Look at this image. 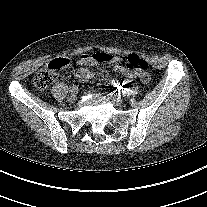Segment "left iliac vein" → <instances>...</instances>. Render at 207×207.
<instances>
[{
	"label": "left iliac vein",
	"instance_id": "obj_1",
	"mask_svg": "<svg viewBox=\"0 0 207 207\" xmlns=\"http://www.w3.org/2000/svg\"><path fill=\"white\" fill-rule=\"evenodd\" d=\"M105 97L115 106H121L123 104V100L118 96L106 94Z\"/></svg>",
	"mask_w": 207,
	"mask_h": 207
}]
</instances>
